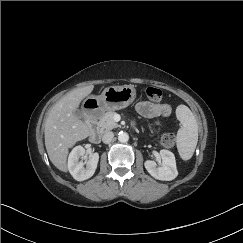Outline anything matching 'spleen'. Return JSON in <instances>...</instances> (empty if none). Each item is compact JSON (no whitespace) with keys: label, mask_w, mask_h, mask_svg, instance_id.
<instances>
[{"label":"spleen","mask_w":243,"mask_h":243,"mask_svg":"<svg viewBox=\"0 0 243 243\" xmlns=\"http://www.w3.org/2000/svg\"><path fill=\"white\" fill-rule=\"evenodd\" d=\"M176 117L181 123L176 137L177 149L183 160H189L198 142L197 122L191 110L185 105L176 108Z\"/></svg>","instance_id":"3e777b00"}]
</instances>
